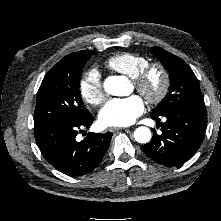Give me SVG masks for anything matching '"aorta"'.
I'll return each instance as SVG.
<instances>
[{"mask_svg":"<svg viewBox=\"0 0 221 221\" xmlns=\"http://www.w3.org/2000/svg\"><path fill=\"white\" fill-rule=\"evenodd\" d=\"M127 79L123 76H110L104 82V89L113 96H125L128 94ZM134 138L139 143H148L151 139L149 128L141 126L134 131Z\"/></svg>","mask_w":221,"mask_h":221,"instance_id":"1","label":"aorta"}]
</instances>
